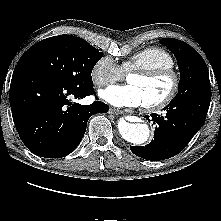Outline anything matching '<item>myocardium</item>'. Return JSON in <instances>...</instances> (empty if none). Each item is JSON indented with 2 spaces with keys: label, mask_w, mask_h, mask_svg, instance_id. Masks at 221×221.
Here are the masks:
<instances>
[{
  "label": "myocardium",
  "mask_w": 221,
  "mask_h": 221,
  "mask_svg": "<svg viewBox=\"0 0 221 221\" xmlns=\"http://www.w3.org/2000/svg\"><path fill=\"white\" fill-rule=\"evenodd\" d=\"M129 75H138L144 78H159V77H169L172 81L171 89L168 94L153 103L144 104V109L147 111H158L169 106L176 98L181 84L180 75L173 68H155V69H135L130 71Z\"/></svg>",
  "instance_id": "obj_1"
}]
</instances>
